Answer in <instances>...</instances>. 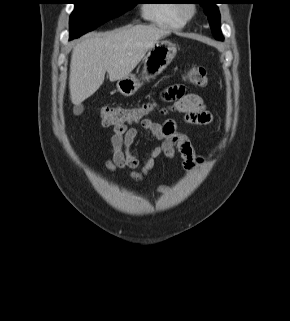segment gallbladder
<instances>
[{
    "label": "gallbladder",
    "mask_w": 290,
    "mask_h": 321,
    "mask_svg": "<svg viewBox=\"0 0 290 321\" xmlns=\"http://www.w3.org/2000/svg\"><path fill=\"white\" fill-rule=\"evenodd\" d=\"M83 112V106L81 104L75 105L73 108L74 115H80Z\"/></svg>",
    "instance_id": "obj_1"
}]
</instances>
